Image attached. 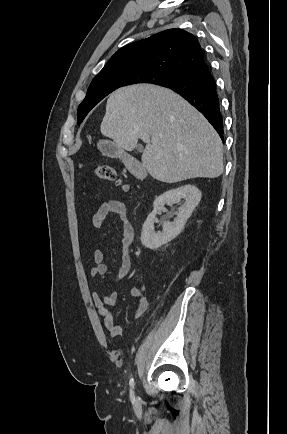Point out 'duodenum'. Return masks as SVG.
<instances>
[{
    "mask_svg": "<svg viewBox=\"0 0 287 434\" xmlns=\"http://www.w3.org/2000/svg\"><path fill=\"white\" fill-rule=\"evenodd\" d=\"M134 173L138 176H141V175H143V170H142V168H139L138 166L135 165L134 166Z\"/></svg>",
    "mask_w": 287,
    "mask_h": 434,
    "instance_id": "duodenum-1",
    "label": "duodenum"
}]
</instances>
